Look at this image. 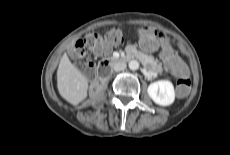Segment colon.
I'll list each match as a JSON object with an SVG mask.
<instances>
[{
  "label": "colon",
  "instance_id": "1",
  "mask_svg": "<svg viewBox=\"0 0 230 155\" xmlns=\"http://www.w3.org/2000/svg\"><path fill=\"white\" fill-rule=\"evenodd\" d=\"M124 41V35L120 28H112L109 30L105 37L97 33H91L87 35L84 39L79 40L73 48V55L79 61L80 69L89 74H94V64L86 58L87 50L91 49L97 52H102L105 48V43L111 44L113 46H119ZM178 80L176 83L177 95L184 97L188 94L190 89V80L187 76V70L182 65L177 72Z\"/></svg>",
  "mask_w": 230,
  "mask_h": 155
}]
</instances>
